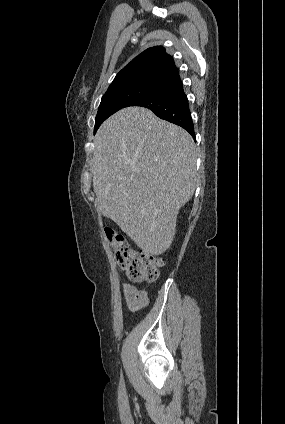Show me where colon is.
Listing matches in <instances>:
<instances>
[{
  "instance_id": "colon-1",
  "label": "colon",
  "mask_w": 285,
  "mask_h": 424,
  "mask_svg": "<svg viewBox=\"0 0 285 424\" xmlns=\"http://www.w3.org/2000/svg\"><path fill=\"white\" fill-rule=\"evenodd\" d=\"M105 235L116 256L117 264L126 270L131 281L153 282L158 278L164 261L146 251L135 250L125 237L112 228L105 229Z\"/></svg>"
}]
</instances>
